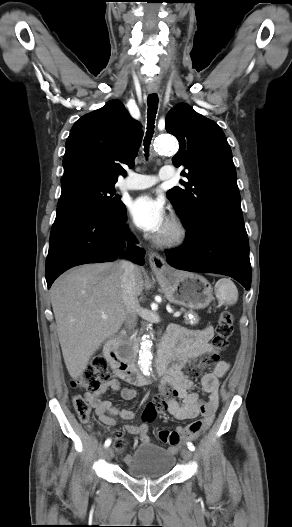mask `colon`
<instances>
[{
    "label": "colon",
    "mask_w": 292,
    "mask_h": 527,
    "mask_svg": "<svg viewBox=\"0 0 292 527\" xmlns=\"http://www.w3.org/2000/svg\"><path fill=\"white\" fill-rule=\"evenodd\" d=\"M233 330V314L225 310L220 314L215 327V334L212 338L213 350L204 354L199 364L191 365L188 368L189 378H197L204 370L214 367L219 362V354L228 347ZM109 379L108 363L105 358L98 357L83 369L81 375L72 381V385L89 392H95ZM169 395V392L160 393L152 402L148 403L143 412V419L148 422L154 420L156 415L165 408L166 399ZM73 406L80 421L88 424L91 420V408L85 397L75 395L73 397ZM112 434L114 436L115 448L118 451L124 450L126 448V441L122 433L120 431H114Z\"/></svg>",
    "instance_id": "obj_1"
}]
</instances>
